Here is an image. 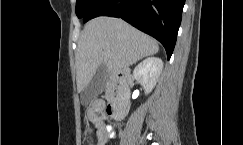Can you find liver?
<instances>
[{
	"label": "liver",
	"instance_id": "6515ba94",
	"mask_svg": "<svg viewBox=\"0 0 243 145\" xmlns=\"http://www.w3.org/2000/svg\"><path fill=\"white\" fill-rule=\"evenodd\" d=\"M158 50L156 40L121 19L102 16L90 20L79 37L75 54L78 92L84 90L101 64L116 73Z\"/></svg>",
	"mask_w": 243,
	"mask_h": 145
}]
</instances>
